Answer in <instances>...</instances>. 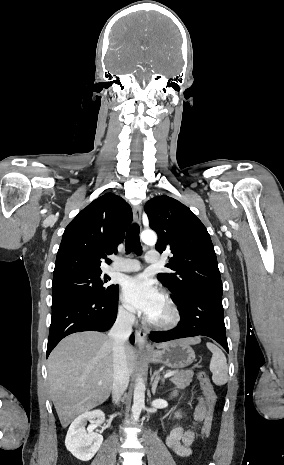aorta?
Instances as JSON below:
<instances>
[{
    "label": "aorta",
    "mask_w": 284,
    "mask_h": 465,
    "mask_svg": "<svg viewBox=\"0 0 284 465\" xmlns=\"http://www.w3.org/2000/svg\"><path fill=\"white\" fill-rule=\"evenodd\" d=\"M141 240L148 245H154L157 241L155 232L146 230L141 233ZM145 383L141 377H138L134 389L132 416L135 421L140 417L141 411L145 405Z\"/></svg>",
    "instance_id": "aorta-1"
}]
</instances>
